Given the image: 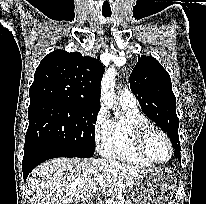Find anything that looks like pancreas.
<instances>
[{"label": "pancreas", "instance_id": "obj_1", "mask_svg": "<svg viewBox=\"0 0 206 204\" xmlns=\"http://www.w3.org/2000/svg\"><path fill=\"white\" fill-rule=\"evenodd\" d=\"M105 204H126L125 197L122 193H119L105 201Z\"/></svg>", "mask_w": 206, "mask_h": 204}]
</instances>
